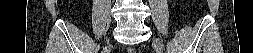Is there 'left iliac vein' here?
<instances>
[{
    "instance_id": "1",
    "label": "left iliac vein",
    "mask_w": 253,
    "mask_h": 53,
    "mask_svg": "<svg viewBox=\"0 0 253 53\" xmlns=\"http://www.w3.org/2000/svg\"><path fill=\"white\" fill-rule=\"evenodd\" d=\"M154 42H155V44H156L159 48H161V44H160V42L158 41V39H155Z\"/></svg>"
}]
</instances>
